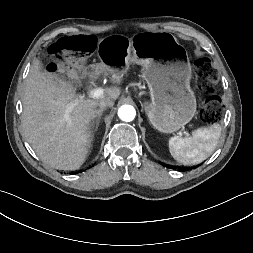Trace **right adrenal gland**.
<instances>
[{
	"mask_svg": "<svg viewBox=\"0 0 253 253\" xmlns=\"http://www.w3.org/2000/svg\"><path fill=\"white\" fill-rule=\"evenodd\" d=\"M105 109H99L97 112H96V115H95V118L92 120L91 122V132L94 131H97L98 127H99V123H100V119H101V116H102V113ZM94 136V134H92V137Z\"/></svg>",
	"mask_w": 253,
	"mask_h": 253,
	"instance_id": "2a0ac1e0",
	"label": "right adrenal gland"
}]
</instances>
